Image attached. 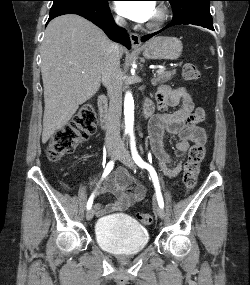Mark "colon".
<instances>
[{"mask_svg": "<svg viewBox=\"0 0 250 285\" xmlns=\"http://www.w3.org/2000/svg\"><path fill=\"white\" fill-rule=\"evenodd\" d=\"M182 74L184 79L188 81H196L200 78L199 69L192 63L183 66ZM95 129L96 114L94 107L92 104L86 103L80 107L68 124L54 133L47 147L48 158L57 161L72 153L80 143L86 141L95 132ZM205 153L204 144L195 143L191 146L182 177L186 191H190L196 186ZM138 218L145 225H150L153 222V216L148 213H142Z\"/></svg>", "mask_w": 250, "mask_h": 285, "instance_id": "5ec220e1", "label": "colon"}]
</instances>
